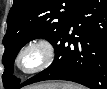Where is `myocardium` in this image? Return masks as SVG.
Instances as JSON below:
<instances>
[{"label": "myocardium", "instance_id": "obj_1", "mask_svg": "<svg viewBox=\"0 0 107 89\" xmlns=\"http://www.w3.org/2000/svg\"><path fill=\"white\" fill-rule=\"evenodd\" d=\"M32 49L40 50L42 57L40 62L35 67L27 69L23 67L22 59L24 55ZM54 57L55 48L52 42L45 37H37L31 39L21 47L15 58V65L17 69L24 74H36L49 67L50 64L53 62Z\"/></svg>", "mask_w": 107, "mask_h": 89}]
</instances>
